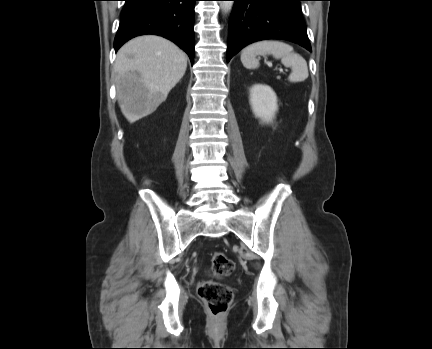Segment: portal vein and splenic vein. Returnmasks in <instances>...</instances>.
<instances>
[{"instance_id":"1","label":"portal vein and splenic vein","mask_w":432,"mask_h":349,"mask_svg":"<svg viewBox=\"0 0 432 349\" xmlns=\"http://www.w3.org/2000/svg\"><path fill=\"white\" fill-rule=\"evenodd\" d=\"M267 64H268L269 66H271V65H272V63H271V62H267ZM280 71H283V69H282V68H280Z\"/></svg>"}]
</instances>
